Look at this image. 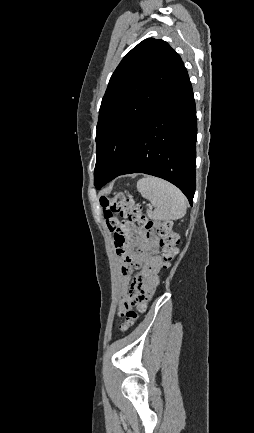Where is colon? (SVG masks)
Masks as SVG:
<instances>
[{
	"mask_svg": "<svg viewBox=\"0 0 254 433\" xmlns=\"http://www.w3.org/2000/svg\"><path fill=\"white\" fill-rule=\"evenodd\" d=\"M100 204L107 228L112 234L117 255L123 256L126 251V242L134 235H139L141 229L146 234L153 232L158 238L160 257L165 266H169L178 254L179 237L172 231L170 222L154 223L147 219L140 205L124 194L113 197H101ZM117 216L122 220L118 221ZM137 305V311L133 308ZM145 309V302L134 297H128L122 307L123 322L121 329L127 330L134 325L138 312Z\"/></svg>",
	"mask_w": 254,
	"mask_h": 433,
	"instance_id": "5ec220e1",
	"label": "colon"
}]
</instances>
